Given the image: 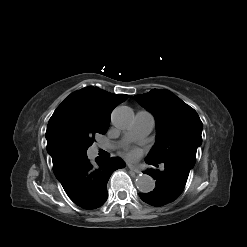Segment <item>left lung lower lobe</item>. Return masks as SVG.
I'll use <instances>...</instances> for the list:
<instances>
[{
  "label": "left lung lower lobe",
  "mask_w": 247,
  "mask_h": 247,
  "mask_svg": "<svg viewBox=\"0 0 247 247\" xmlns=\"http://www.w3.org/2000/svg\"><path fill=\"white\" fill-rule=\"evenodd\" d=\"M146 163L154 162L145 159ZM157 166V164H154ZM163 171L149 169L144 173L156 180V187L149 193H140L141 199L153 206H163L177 199L182 193L190 169L176 162H164Z\"/></svg>",
  "instance_id": "1"
}]
</instances>
